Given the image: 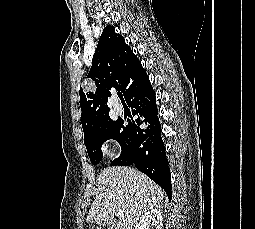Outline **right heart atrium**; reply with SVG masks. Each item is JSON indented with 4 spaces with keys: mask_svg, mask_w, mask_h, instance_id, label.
Here are the masks:
<instances>
[{
    "mask_svg": "<svg viewBox=\"0 0 255 229\" xmlns=\"http://www.w3.org/2000/svg\"><path fill=\"white\" fill-rule=\"evenodd\" d=\"M102 151L106 154V155H113L114 153V148H113V144L110 143H104L102 145Z\"/></svg>",
    "mask_w": 255,
    "mask_h": 229,
    "instance_id": "1",
    "label": "right heart atrium"
}]
</instances>
